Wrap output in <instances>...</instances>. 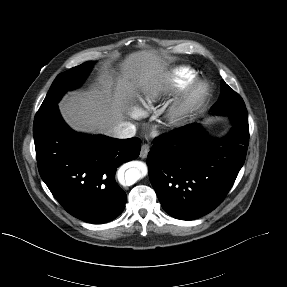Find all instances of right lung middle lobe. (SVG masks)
<instances>
[{
  "label": "right lung middle lobe",
  "instance_id": "obj_1",
  "mask_svg": "<svg viewBox=\"0 0 287 287\" xmlns=\"http://www.w3.org/2000/svg\"><path fill=\"white\" fill-rule=\"evenodd\" d=\"M93 63V61L85 62L79 66L71 68L66 72L60 73L52 83L38 111L47 109L57 104L67 90H71L79 86L87 76Z\"/></svg>",
  "mask_w": 287,
  "mask_h": 287
}]
</instances>
